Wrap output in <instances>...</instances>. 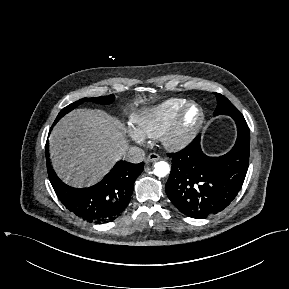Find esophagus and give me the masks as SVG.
<instances>
[{
  "label": "esophagus",
  "mask_w": 289,
  "mask_h": 289,
  "mask_svg": "<svg viewBox=\"0 0 289 289\" xmlns=\"http://www.w3.org/2000/svg\"><path fill=\"white\" fill-rule=\"evenodd\" d=\"M160 159H161V157L158 154L151 153L147 156L146 162L147 163L156 162V161H159Z\"/></svg>",
  "instance_id": "esophagus-1"
}]
</instances>
